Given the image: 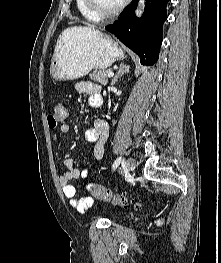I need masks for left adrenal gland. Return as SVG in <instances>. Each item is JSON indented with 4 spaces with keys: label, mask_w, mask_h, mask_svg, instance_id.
I'll list each match as a JSON object with an SVG mask.
<instances>
[{
    "label": "left adrenal gland",
    "mask_w": 221,
    "mask_h": 263,
    "mask_svg": "<svg viewBox=\"0 0 221 263\" xmlns=\"http://www.w3.org/2000/svg\"><path fill=\"white\" fill-rule=\"evenodd\" d=\"M130 67L125 65L124 63L120 64V67L114 76L111 85H115L119 78H121L125 73L129 72Z\"/></svg>",
    "instance_id": "a2214340"
}]
</instances>
